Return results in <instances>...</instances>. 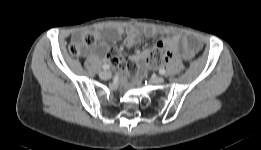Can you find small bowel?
Returning a JSON list of instances; mask_svg holds the SVG:
<instances>
[{"mask_svg":"<svg viewBox=\"0 0 261 150\" xmlns=\"http://www.w3.org/2000/svg\"><path fill=\"white\" fill-rule=\"evenodd\" d=\"M126 33L124 44L128 48L135 47L143 37L154 38L160 34L165 33V30L158 29L154 26H131L126 31L122 27L114 28L108 31L104 39L97 47V52L103 56H111L118 69L120 75L127 72L132 78L137 79L141 75V69L145 62L148 51L144 50L136 52L130 58L122 57L119 54H109V44L115 42L121 35ZM167 46L176 53L182 46L183 54L186 58L191 57L201 47L200 42L194 38H184L179 34H174L165 42Z\"/></svg>","mask_w":261,"mask_h":150,"instance_id":"small-bowel-1","label":"small bowel"}]
</instances>
